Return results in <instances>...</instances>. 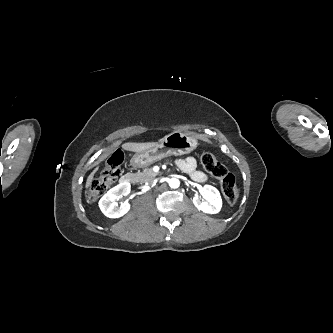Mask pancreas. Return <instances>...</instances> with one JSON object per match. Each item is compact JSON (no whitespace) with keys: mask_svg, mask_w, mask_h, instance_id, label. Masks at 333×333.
Returning <instances> with one entry per match:
<instances>
[{"mask_svg":"<svg viewBox=\"0 0 333 333\" xmlns=\"http://www.w3.org/2000/svg\"><path fill=\"white\" fill-rule=\"evenodd\" d=\"M156 176L157 173L152 168H145L142 172L136 174V180L139 183H150Z\"/></svg>","mask_w":333,"mask_h":333,"instance_id":"1","label":"pancreas"}]
</instances>
